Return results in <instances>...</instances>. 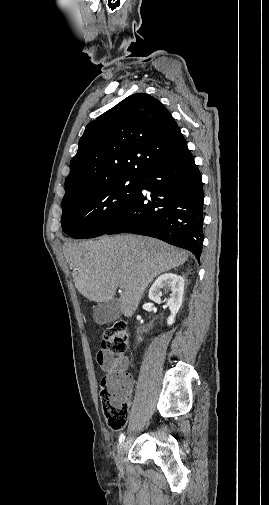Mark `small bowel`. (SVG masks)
Wrapping results in <instances>:
<instances>
[{"label":"small bowel","mask_w":269,"mask_h":505,"mask_svg":"<svg viewBox=\"0 0 269 505\" xmlns=\"http://www.w3.org/2000/svg\"><path fill=\"white\" fill-rule=\"evenodd\" d=\"M96 360L101 370L106 376L118 375V374L127 375L126 373V370L128 368L127 358H116L109 352L102 350L97 353Z\"/></svg>","instance_id":"small-bowel-1"}]
</instances>
